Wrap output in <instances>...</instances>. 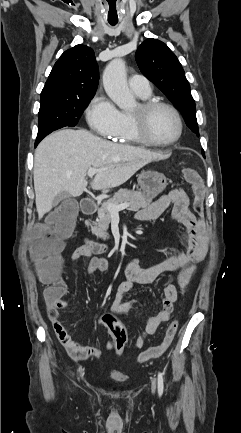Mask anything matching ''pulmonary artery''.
<instances>
[{"label": "pulmonary artery", "mask_w": 241, "mask_h": 433, "mask_svg": "<svg viewBox=\"0 0 241 433\" xmlns=\"http://www.w3.org/2000/svg\"><path fill=\"white\" fill-rule=\"evenodd\" d=\"M130 88L139 96H149L151 94L150 82L142 75H133L129 79Z\"/></svg>", "instance_id": "e3ab8cb5"}]
</instances>
